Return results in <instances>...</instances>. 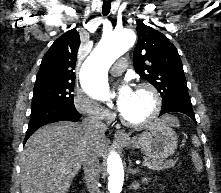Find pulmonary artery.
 Wrapping results in <instances>:
<instances>
[{
    "instance_id": "obj_1",
    "label": "pulmonary artery",
    "mask_w": 221,
    "mask_h": 193,
    "mask_svg": "<svg viewBox=\"0 0 221 193\" xmlns=\"http://www.w3.org/2000/svg\"><path fill=\"white\" fill-rule=\"evenodd\" d=\"M127 66L126 58H121L117 63L111 68V73L113 75H120Z\"/></svg>"
}]
</instances>
